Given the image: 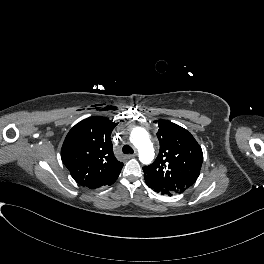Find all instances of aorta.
Here are the masks:
<instances>
[{"label": "aorta", "mask_w": 264, "mask_h": 264, "mask_svg": "<svg viewBox=\"0 0 264 264\" xmlns=\"http://www.w3.org/2000/svg\"><path fill=\"white\" fill-rule=\"evenodd\" d=\"M131 140L139 151V159L142 163H150L154 157V150L148 133L143 128H134L131 133Z\"/></svg>", "instance_id": "762f6f07"}]
</instances>
